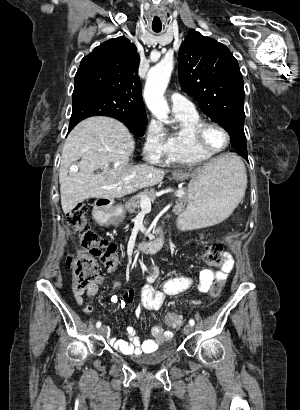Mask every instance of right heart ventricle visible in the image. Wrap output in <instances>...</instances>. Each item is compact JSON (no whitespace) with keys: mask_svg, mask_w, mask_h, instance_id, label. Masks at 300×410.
<instances>
[{"mask_svg":"<svg viewBox=\"0 0 300 410\" xmlns=\"http://www.w3.org/2000/svg\"><path fill=\"white\" fill-rule=\"evenodd\" d=\"M178 126L166 134L165 147L158 161L166 164L194 165L213 155L200 150L194 141V131L202 119L197 111L174 112Z\"/></svg>","mask_w":300,"mask_h":410,"instance_id":"right-heart-ventricle-1","label":"right heart ventricle"}]
</instances>
